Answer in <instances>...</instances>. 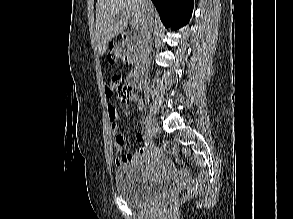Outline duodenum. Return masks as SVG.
I'll use <instances>...</instances> for the list:
<instances>
[{
	"label": "duodenum",
	"instance_id": "410a0bca",
	"mask_svg": "<svg viewBox=\"0 0 293 219\" xmlns=\"http://www.w3.org/2000/svg\"><path fill=\"white\" fill-rule=\"evenodd\" d=\"M123 40L135 57V68L129 74L128 82L133 88L140 89L146 82V55L143 42L132 32H125Z\"/></svg>",
	"mask_w": 293,
	"mask_h": 219
}]
</instances>
